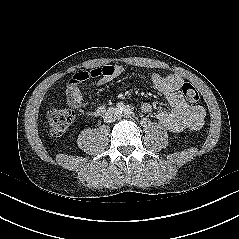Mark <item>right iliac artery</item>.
Instances as JSON below:
<instances>
[{"mask_svg":"<svg viewBox=\"0 0 239 239\" xmlns=\"http://www.w3.org/2000/svg\"><path fill=\"white\" fill-rule=\"evenodd\" d=\"M117 109H118V111H120V112L124 111V109H125L124 104H123V103H118V104H117Z\"/></svg>","mask_w":239,"mask_h":239,"instance_id":"obj_1","label":"right iliac artery"}]
</instances>
